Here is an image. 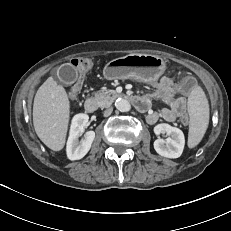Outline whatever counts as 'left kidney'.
Masks as SVG:
<instances>
[{
  "label": "left kidney",
  "mask_w": 231,
  "mask_h": 231,
  "mask_svg": "<svg viewBox=\"0 0 231 231\" xmlns=\"http://www.w3.org/2000/svg\"><path fill=\"white\" fill-rule=\"evenodd\" d=\"M154 132L156 135L166 133L169 136L166 140L158 138L154 141V149L159 155L173 159L181 156L185 137L179 128L161 123L154 127Z\"/></svg>",
  "instance_id": "1"
}]
</instances>
